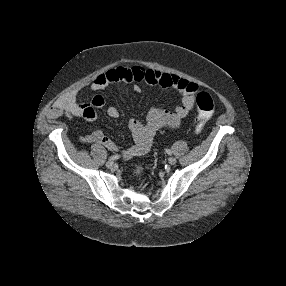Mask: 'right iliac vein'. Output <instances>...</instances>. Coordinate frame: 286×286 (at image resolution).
<instances>
[{
    "label": "right iliac vein",
    "mask_w": 286,
    "mask_h": 286,
    "mask_svg": "<svg viewBox=\"0 0 286 286\" xmlns=\"http://www.w3.org/2000/svg\"><path fill=\"white\" fill-rule=\"evenodd\" d=\"M113 166H114V162H113V161H108V162L106 163V167H107V168H113Z\"/></svg>",
    "instance_id": "right-iliac-vein-1"
}]
</instances>
